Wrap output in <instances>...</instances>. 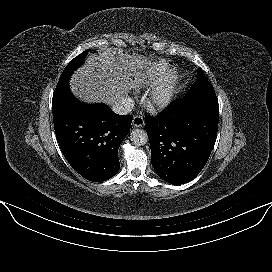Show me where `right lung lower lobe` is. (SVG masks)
I'll use <instances>...</instances> for the list:
<instances>
[{"instance_id": "right-lung-lower-lobe-1", "label": "right lung lower lobe", "mask_w": 272, "mask_h": 272, "mask_svg": "<svg viewBox=\"0 0 272 272\" xmlns=\"http://www.w3.org/2000/svg\"><path fill=\"white\" fill-rule=\"evenodd\" d=\"M52 112L61 151L82 177L102 182L119 171L117 153L130 132L131 115H118L105 104H84L70 90L52 101Z\"/></svg>"}]
</instances>
